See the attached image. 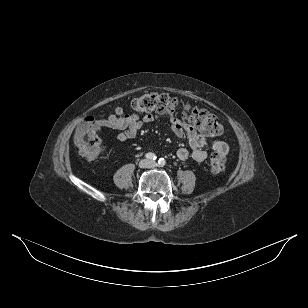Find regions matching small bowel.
I'll return each mask as SVG.
<instances>
[{"label":"small bowel","mask_w":308,"mask_h":308,"mask_svg":"<svg viewBox=\"0 0 308 308\" xmlns=\"http://www.w3.org/2000/svg\"><path fill=\"white\" fill-rule=\"evenodd\" d=\"M168 118L170 128L177 137H187L191 150L188 148H180L177 150V157L181 161L193 159L197 162L206 160L208 154L205 148L209 145L208 138L199 133L192 125L183 119H179L174 115L153 114L146 113L140 115L139 113L127 114L121 107H116L114 113L107 118L100 120L101 126L111 130L119 131L117 139L121 142L134 139L142 128L160 118ZM212 148L215 152L222 155H227L229 147L227 143L221 140H214L211 142Z\"/></svg>","instance_id":"obj_1"}]
</instances>
